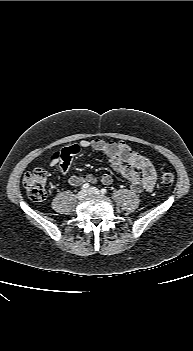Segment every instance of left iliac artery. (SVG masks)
<instances>
[{"label":"left iliac artery","mask_w":193,"mask_h":351,"mask_svg":"<svg viewBox=\"0 0 193 351\" xmlns=\"http://www.w3.org/2000/svg\"><path fill=\"white\" fill-rule=\"evenodd\" d=\"M101 193H102V194H106V193H107V190H106L105 188H102V189H101Z\"/></svg>","instance_id":"1"}]
</instances>
